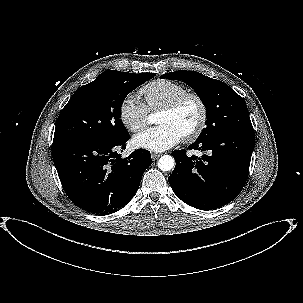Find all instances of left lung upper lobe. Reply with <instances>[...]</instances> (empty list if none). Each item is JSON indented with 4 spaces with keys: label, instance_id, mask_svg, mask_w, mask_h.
Segmentation results:
<instances>
[{
    "label": "left lung upper lobe",
    "instance_id": "1",
    "mask_svg": "<svg viewBox=\"0 0 303 303\" xmlns=\"http://www.w3.org/2000/svg\"><path fill=\"white\" fill-rule=\"evenodd\" d=\"M160 78L182 80L192 87L206 107V127L197 140L232 133L253 132L244 99L222 81L194 71L180 70Z\"/></svg>",
    "mask_w": 303,
    "mask_h": 303
}]
</instances>
